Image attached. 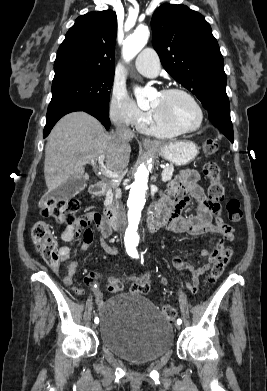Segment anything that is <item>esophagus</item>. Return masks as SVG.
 I'll list each match as a JSON object with an SVG mask.
<instances>
[{"label":"esophagus","instance_id":"34e87169","mask_svg":"<svg viewBox=\"0 0 267 391\" xmlns=\"http://www.w3.org/2000/svg\"><path fill=\"white\" fill-rule=\"evenodd\" d=\"M142 143L144 146H154L155 145L154 142L148 138L143 139Z\"/></svg>","mask_w":267,"mask_h":391}]
</instances>
